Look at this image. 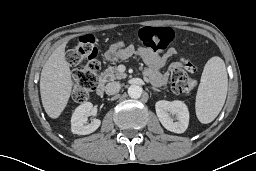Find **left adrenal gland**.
<instances>
[{
    "label": "left adrenal gland",
    "instance_id": "1",
    "mask_svg": "<svg viewBox=\"0 0 256 171\" xmlns=\"http://www.w3.org/2000/svg\"><path fill=\"white\" fill-rule=\"evenodd\" d=\"M152 90L160 92V90L156 87H151Z\"/></svg>",
    "mask_w": 256,
    "mask_h": 171
}]
</instances>
